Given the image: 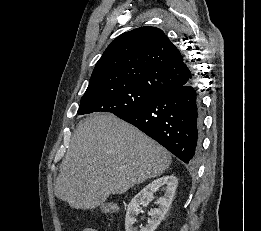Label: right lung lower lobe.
Returning <instances> with one entry per match:
<instances>
[{
  "instance_id": "1",
  "label": "right lung lower lobe",
  "mask_w": 261,
  "mask_h": 231,
  "mask_svg": "<svg viewBox=\"0 0 261 231\" xmlns=\"http://www.w3.org/2000/svg\"><path fill=\"white\" fill-rule=\"evenodd\" d=\"M118 117L159 142L184 163H197L201 149L202 103L192 80Z\"/></svg>"
}]
</instances>
